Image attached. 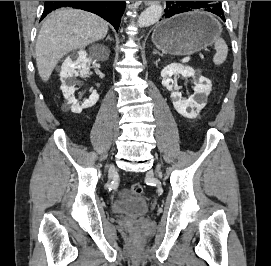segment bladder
Masks as SVG:
<instances>
[{
	"label": "bladder",
	"mask_w": 271,
	"mask_h": 266,
	"mask_svg": "<svg viewBox=\"0 0 271 266\" xmlns=\"http://www.w3.org/2000/svg\"><path fill=\"white\" fill-rule=\"evenodd\" d=\"M149 210V204L142 198H121L112 205V211L115 214L127 219H136L147 214Z\"/></svg>",
	"instance_id": "obj_1"
}]
</instances>
